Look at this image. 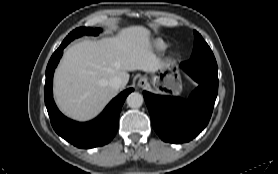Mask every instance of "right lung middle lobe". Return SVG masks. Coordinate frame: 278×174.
Returning <instances> with one entry per match:
<instances>
[{
    "mask_svg": "<svg viewBox=\"0 0 278 174\" xmlns=\"http://www.w3.org/2000/svg\"><path fill=\"white\" fill-rule=\"evenodd\" d=\"M101 29H95L92 30L90 27H80L75 30H73L65 39L62 43H69L75 38H78L82 35H98Z\"/></svg>",
    "mask_w": 278,
    "mask_h": 174,
    "instance_id": "1",
    "label": "right lung middle lobe"
}]
</instances>
